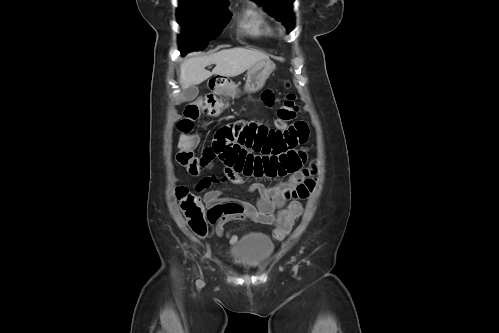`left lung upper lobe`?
<instances>
[{"label":"left lung upper lobe","instance_id":"5c2ea615","mask_svg":"<svg viewBox=\"0 0 499 333\" xmlns=\"http://www.w3.org/2000/svg\"><path fill=\"white\" fill-rule=\"evenodd\" d=\"M261 4L265 10L281 21L289 33L294 28V14L292 4L294 0H254Z\"/></svg>","mask_w":499,"mask_h":333}]
</instances>
